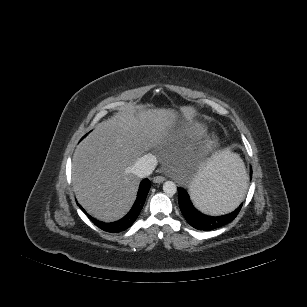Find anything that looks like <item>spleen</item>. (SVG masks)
I'll return each instance as SVG.
<instances>
[{
    "label": "spleen",
    "instance_id": "obj_1",
    "mask_svg": "<svg viewBox=\"0 0 307 307\" xmlns=\"http://www.w3.org/2000/svg\"><path fill=\"white\" fill-rule=\"evenodd\" d=\"M247 191V174L237 155L227 149L212 151L190 189L197 208L219 215L239 206Z\"/></svg>",
    "mask_w": 307,
    "mask_h": 307
}]
</instances>
